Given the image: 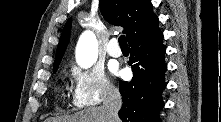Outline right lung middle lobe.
<instances>
[{
	"label": "right lung middle lobe",
	"mask_w": 221,
	"mask_h": 122,
	"mask_svg": "<svg viewBox=\"0 0 221 122\" xmlns=\"http://www.w3.org/2000/svg\"><path fill=\"white\" fill-rule=\"evenodd\" d=\"M57 68L54 69V73L56 72Z\"/></svg>",
	"instance_id": "right-lung-middle-lobe-1"
}]
</instances>
